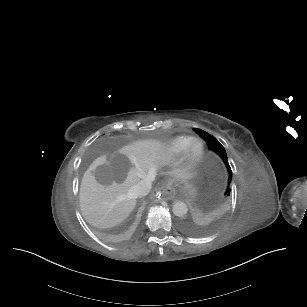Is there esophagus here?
<instances>
[{
	"mask_svg": "<svg viewBox=\"0 0 307 307\" xmlns=\"http://www.w3.org/2000/svg\"><path fill=\"white\" fill-rule=\"evenodd\" d=\"M161 193L164 200H171L176 194L174 188L171 185H167L165 188H163Z\"/></svg>",
	"mask_w": 307,
	"mask_h": 307,
	"instance_id": "1",
	"label": "esophagus"
}]
</instances>
